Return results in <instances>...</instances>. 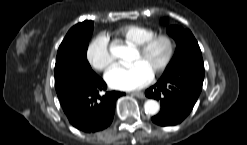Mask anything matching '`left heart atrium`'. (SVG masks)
Segmentation results:
<instances>
[{"instance_id": "obj_1", "label": "left heart atrium", "mask_w": 247, "mask_h": 145, "mask_svg": "<svg viewBox=\"0 0 247 145\" xmlns=\"http://www.w3.org/2000/svg\"><path fill=\"white\" fill-rule=\"evenodd\" d=\"M152 77V72L140 62L129 66L114 65L105 74V80L110 87L126 91L147 85Z\"/></svg>"}]
</instances>
